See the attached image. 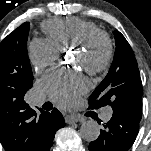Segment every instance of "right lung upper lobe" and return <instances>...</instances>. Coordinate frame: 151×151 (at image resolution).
I'll list each match as a JSON object with an SVG mask.
<instances>
[{
	"label": "right lung upper lobe",
	"mask_w": 151,
	"mask_h": 151,
	"mask_svg": "<svg viewBox=\"0 0 151 151\" xmlns=\"http://www.w3.org/2000/svg\"><path fill=\"white\" fill-rule=\"evenodd\" d=\"M36 113L24 97L0 96V142L6 151H40L44 140V111Z\"/></svg>",
	"instance_id": "right-lung-upper-lobe-1"
}]
</instances>
